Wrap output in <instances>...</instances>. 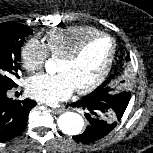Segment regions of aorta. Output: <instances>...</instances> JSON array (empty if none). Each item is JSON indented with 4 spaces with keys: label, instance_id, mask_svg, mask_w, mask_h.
<instances>
[{
    "label": "aorta",
    "instance_id": "aorta-1",
    "mask_svg": "<svg viewBox=\"0 0 153 153\" xmlns=\"http://www.w3.org/2000/svg\"><path fill=\"white\" fill-rule=\"evenodd\" d=\"M56 63L49 59L45 62V69L48 73L54 74L56 72ZM59 129L67 135H78L83 127V118L75 112H66L58 118Z\"/></svg>",
    "mask_w": 153,
    "mask_h": 153
}]
</instances>
